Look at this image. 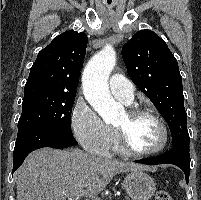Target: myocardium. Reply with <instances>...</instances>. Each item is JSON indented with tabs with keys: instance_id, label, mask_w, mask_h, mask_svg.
Listing matches in <instances>:
<instances>
[{
	"instance_id": "obj_1",
	"label": "myocardium",
	"mask_w": 201,
	"mask_h": 200,
	"mask_svg": "<svg viewBox=\"0 0 201 200\" xmlns=\"http://www.w3.org/2000/svg\"><path fill=\"white\" fill-rule=\"evenodd\" d=\"M127 114L131 120H135L142 116H149L152 119H154L161 129L162 141L159 144V146H157L154 149L146 150V151H139V150H136L134 147H132V145L130 144V142L127 138V134H126L125 130L116 127L118 142H119L121 149L124 151V153L130 154L133 156H137V157H145V156H152V155L159 154L166 149V147L169 143V131H168V128H167L164 120L158 113H156L155 111L150 110L148 108H145V107L136 106V107H132L131 109H129L127 111Z\"/></svg>"
}]
</instances>
